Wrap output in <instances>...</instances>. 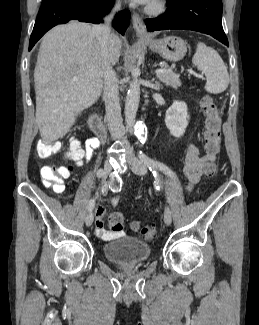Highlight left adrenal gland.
Segmentation results:
<instances>
[{"label": "left adrenal gland", "instance_id": "1", "mask_svg": "<svg viewBox=\"0 0 259 325\" xmlns=\"http://www.w3.org/2000/svg\"><path fill=\"white\" fill-rule=\"evenodd\" d=\"M154 80H155V79L153 78L152 81H154ZM155 86H156V88H158V89L161 87L160 84H159L158 82H155Z\"/></svg>", "mask_w": 259, "mask_h": 325}]
</instances>
